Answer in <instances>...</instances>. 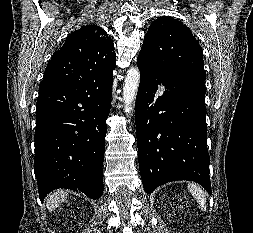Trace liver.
Returning a JSON list of instances; mask_svg holds the SVG:
<instances>
[{"label":"liver","instance_id":"6515ba94","mask_svg":"<svg viewBox=\"0 0 253 233\" xmlns=\"http://www.w3.org/2000/svg\"><path fill=\"white\" fill-rule=\"evenodd\" d=\"M67 196L68 192L64 190H57L52 193L46 202L48 211H54L64 200H66Z\"/></svg>","mask_w":253,"mask_h":233}]
</instances>
